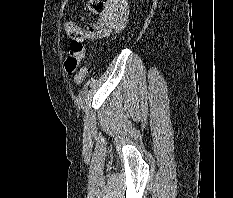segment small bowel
<instances>
[{
  "mask_svg": "<svg viewBox=\"0 0 233 198\" xmlns=\"http://www.w3.org/2000/svg\"><path fill=\"white\" fill-rule=\"evenodd\" d=\"M127 0H107L104 11L99 19L88 29V39H98L119 32L124 29L128 21ZM72 53L80 62L84 58L83 47L75 50L71 46Z\"/></svg>",
  "mask_w": 233,
  "mask_h": 198,
  "instance_id": "c3829d8e",
  "label": "small bowel"
}]
</instances>
